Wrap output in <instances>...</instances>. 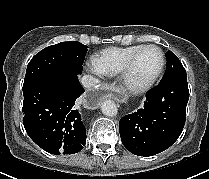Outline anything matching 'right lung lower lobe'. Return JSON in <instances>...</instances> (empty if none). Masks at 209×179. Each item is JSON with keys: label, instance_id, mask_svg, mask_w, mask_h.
Instances as JSON below:
<instances>
[{"label": "right lung lower lobe", "instance_id": "obj_1", "mask_svg": "<svg viewBox=\"0 0 209 179\" xmlns=\"http://www.w3.org/2000/svg\"><path fill=\"white\" fill-rule=\"evenodd\" d=\"M77 75L66 71L48 75L24 96L25 130L51 154H74L86 144L81 114L74 106L84 93Z\"/></svg>", "mask_w": 209, "mask_h": 179}]
</instances>
